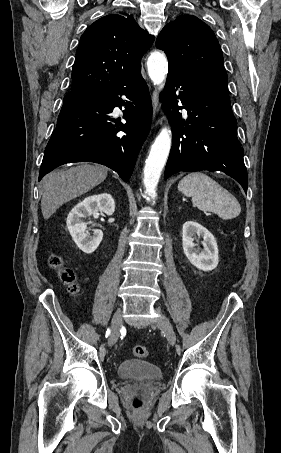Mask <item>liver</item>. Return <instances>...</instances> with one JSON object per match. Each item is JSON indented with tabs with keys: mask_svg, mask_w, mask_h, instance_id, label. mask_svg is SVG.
Listing matches in <instances>:
<instances>
[{
	"mask_svg": "<svg viewBox=\"0 0 281 453\" xmlns=\"http://www.w3.org/2000/svg\"><path fill=\"white\" fill-rule=\"evenodd\" d=\"M107 166L78 164L68 170H53L41 180V210L44 218H50L64 202L85 194L107 178Z\"/></svg>",
	"mask_w": 281,
	"mask_h": 453,
	"instance_id": "6515ba94",
	"label": "liver"
}]
</instances>
